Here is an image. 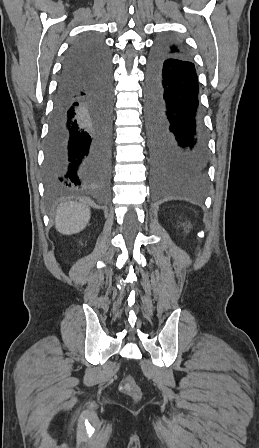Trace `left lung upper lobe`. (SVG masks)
Returning <instances> with one entry per match:
<instances>
[{
	"instance_id": "1",
	"label": "left lung upper lobe",
	"mask_w": 259,
	"mask_h": 448,
	"mask_svg": "<svg viewBox=\"0 0 259 448\" xmlns=\"http://www.w3.org/2000/svg\"><path fill=\"white\" fill-rule=\"evenodd\" d=\"M163 51L165 56H182L186 58H191L190 54L184 48L182 43L177 39H173L170 42H168L163 47Z\"/></svg>"
}]
</instances>
